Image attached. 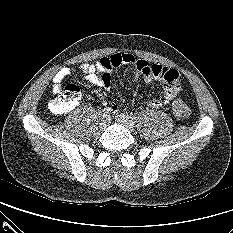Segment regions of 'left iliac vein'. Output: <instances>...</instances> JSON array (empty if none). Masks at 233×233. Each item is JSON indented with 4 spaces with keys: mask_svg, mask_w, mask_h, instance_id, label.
<instances>
[{
    "mask_svg": "<svg viewBox=\"0 0 233 233\" xmlns=\"http://www.w3.org/2000/svg\"><path fill=\"white\" fill-rule=\"evenodd\" d=\"M115 120L117 123L124 125L130 131L134 130L135 127L134 121L128 115L118 114L115 117Z\"/></svg>",
    "mask_w": 233,
    "mask_h": 233,
    "instance_id": "left-iliac-vein-1",
    "label": "left iliac vein"
}]
</instances>
